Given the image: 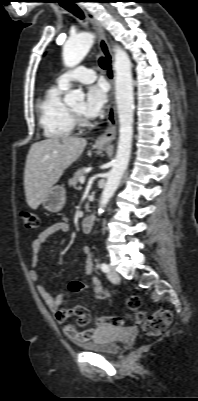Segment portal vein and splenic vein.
<instances>
[{"label":"portal vein and splenic vein","instance_id":"1","mask_svg":"<svg viewBox=\"0 0 198 401\" xmlns=\"http://www.w3.org/2000/svg\"><path fill=\"white\" fill-rule=\"evenodd\" d=\"M79 182H80V184H84V183H85V177H84V176L81 177V178L79 179Z\"/></svg>","mask_w":198,"mask_h":401}]
</instances>
